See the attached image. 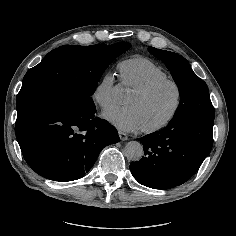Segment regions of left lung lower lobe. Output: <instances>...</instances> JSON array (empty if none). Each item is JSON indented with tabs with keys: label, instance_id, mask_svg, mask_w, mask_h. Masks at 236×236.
I'll list each match as a JSON object with an SVG mask.
<instances>
[{
	"label": "left lung lower lobe",
	"instance_id": "obj_1",
	"mask_svg": "<svg viewBox=\"0 0 236 236\" xmlns=\"http://www.w3.org/2000/svg\"><path fill=\"white\" fill-rule=\"evenodd\" d=\"M213 123L211 119L187 118L140 138L144 156L130 164L134 178L154 189L185 183L212 149Z\"/></svg>",
	"mask_w": 236,
	"mask_h": 236
}]
</instances>
